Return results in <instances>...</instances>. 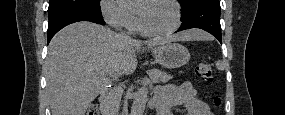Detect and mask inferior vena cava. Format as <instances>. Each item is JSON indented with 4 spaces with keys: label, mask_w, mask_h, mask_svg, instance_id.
Returning a JSON list of instances; mask_svg holds the SVG:
<instances>
[{
    "label": "inferior vena cava",
    "mask_w": 285,
    "mask_h": 115,
    "mask_svg": "<svg viewBox=\"0 0 285 115\" xmlns=\"http://www.w3.org/2000/svg\"><path fill=\"white\" fill-rule=\"evenodd\" d=\"M118 36H120V37H122V38H126V37H127V35H126L124 32L118 33ZM121 94H122V95H125V94H126V91H125V90H122V91H121ZM121 100H122V101H125V100H126V97H125V96H122V97H121ZM118 115H125V113H124V112H119Z\"/></svg>",
    "instance_id": "obj_1"
}]
</instances>
